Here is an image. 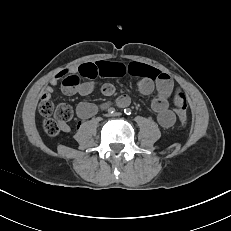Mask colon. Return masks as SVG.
Instances as JSON below:
<instances>
[{
	"label": "colon",
	"instance_id": "5ec220e1",
	"mask_svg": "<svg viewBox=\"0 0 231 231\" xmlns=\"http://www.w3.org/2000/svg\"><path fill=\"white\" fill-rule=\"evenodd\" d=\"M80 85L78 74L71 73L62 80V88L66 93L75 92ZM174 104L181 125L187 121V103L184 95L179 92L174 98ZM39 112L43 116V128L46 134L55 137L59 134L60 125L73 117L72 108L65 103L54 105L50 99H41Z\"/></svg>",
	"mask_w": 231,
	"mask_h": 231
}]
</instances>
